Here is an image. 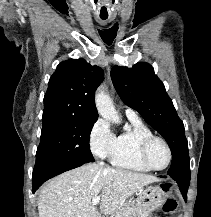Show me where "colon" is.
Masks as SVG:
<instances>
[{
  "label": "colon",
  "instance_id": "colon-1",
  "mask_svg": "<svg viewBox=\"0 0 211 217\" xmlns=\"http://www.w3.org/2000/svg\"><path fill=\"white\" fill-rule=\"evenodd\" d=\"M162 188H163V190L165 192L169 191V186L168 185H164ZM163 210L167 214H174V213H176L177 210H178V203H177V201L173 197L168 198L165 201L164 205H163Z\"/></svg>",
  "mask_w": 211,
  "mask_h": 217
}]
</instances>
